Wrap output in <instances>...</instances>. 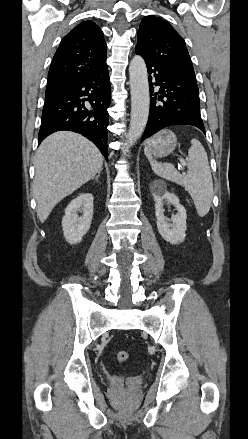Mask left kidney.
Returning a JSON list of instances; mask_svg holds the SVG:
<instances>
[{
	"mask_svg": "<svg viewBox=\"0 0 248 439\" xmlns=\"http://www.w3.org/2000/svg\"><path fill=\"white\" fill-rule=\"evenodd\" d=\"M150 191L155 201V215L157 219V228L164 240L171 244L183 242L186 237V210L180 204L179 198L166 190L163 182L155 181L150 185ZM167 202L173 205L178 211L171 219L164 215L163 204ZM171 222V223H170Z\"/></svg>",
	"mask_w": 248,
	"mask_h": 439,
	"instance_id": "obj_1",
	"label": "left kidney"
}]
</instances>
